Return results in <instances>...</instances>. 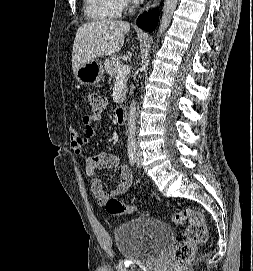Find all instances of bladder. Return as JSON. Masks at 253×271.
Returning a JSON list of instances; mask_svg holds the SVG:
<instances>
[{"mask_svg":"<svg viewBox=\"0 0 253 271\" xmlns=\"http://www.w3.org/2000/svg\"><path fill=\"white\" fill-rule=\"evenodd\" d=\"M172 239V228L155 218L132 219L118 226L115 231L120 256L139 263L155 261Z\"/></svg>","mask_w":253,"mask_h":271,"instance_id":"1","label":"bladder"}]
</instances>
